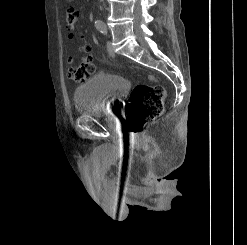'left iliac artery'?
Instances as JSON below:
<instances>
[{
	"label": "left iliac artery",
	"mask_w": 247,
	"mask_h": 245,
	"mask_svg": "<svg viewBox=\"0 0 247 245\" xmlns=\"http://www.w3.org/2000/svg\"><path fill=\"white\" fill-rule=\"evenodd\" d=\"M96 28L102 33V34H107V27L106 24L103 22H98L96 24Z\"/></svg>",
	"instance_id": "1"
}]
</instances>
